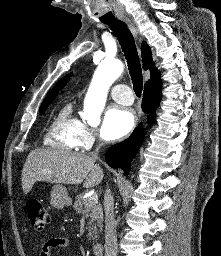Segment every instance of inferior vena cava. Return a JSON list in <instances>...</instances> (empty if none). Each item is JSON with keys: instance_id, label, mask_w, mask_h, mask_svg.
Instances as JSON below:
<instances>
[{"instance_id": "1", "label": "inferior vena cava", "mask_w": 221, "mask_h": 256, "mask_svg": "<svg viewBox=\"0 0 221 256\" xmlns=\"http://www.w3.org/2000/svg\"><path fill=\"white\" fill-rule=\"evenodd\" d=\"M101 143L96 147L92 154L97 159ZM104 210H105V256L117 255V236L116 222L114 217V199L110 189H106L104 194Z\"/></svg>"}]
</instances>
